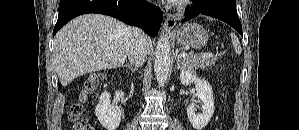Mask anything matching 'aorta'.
<instances>
[{
	"label": "aorta",
	"instance_id": "1",
	"mask_svg": "<svg viewBox=\"0 0 299 130\" xmlns=\"http://www.w3.org/2000/svg\"><path fill=\"white\" fill-rule=\"evenodd\" d=\"M171 63V52L168 37L162 33L157 42L154 59V72L159 86L167 81Z\"/></svg>",
	"mask_w": 299,
	"mask_h": 130
}]
</instances>
